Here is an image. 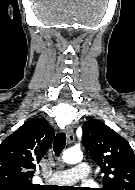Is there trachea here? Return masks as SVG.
Returning a JSON list of instances; mask_svg holds the SVG:
<instances>
[{
  "label": "trachea",
  "instance_id": "3493384b",
  "mask_svg": "<svg viewBox=\"0 0 135 190\" xmlns=\"http://www.w3.org/2000/svg\"><path fill=\"white\" fill-rule=\"evenodd\" d=\"M66 144L65 133H58L54 140V152L56 156H59L63 151Z\"/></svg>",
  "mask_w": 135,
  "mask_h": 190
}]
</instances>
